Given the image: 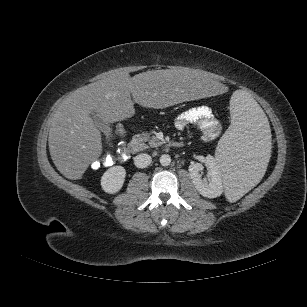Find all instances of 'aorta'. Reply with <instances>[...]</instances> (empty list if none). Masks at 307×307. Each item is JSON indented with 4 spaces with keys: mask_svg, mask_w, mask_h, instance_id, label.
<instances>
[{
    "mask_svg": "<svg viewBox=\"0 0 307 307\" xmlns=\"http://www.w3.org/2000/svg\"><path fill=\"white\" fill-rule=\"evenodd\" d=\"M171 163V157L168 154H163L160 157V164L162 166H168Z\"/></svg>",
    "mask_w": 307,
    "mask_h": 307,
    "instance_id": "obj_1",
    "label": "aorta"
}]
</instances>
